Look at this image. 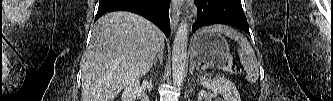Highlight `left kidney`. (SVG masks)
<instances>
[{"instance_id": "left-kidney-1", "label": "left kidney", "mask_w": 333, "mask_h": 101, "mask_svg": "<svg viewBox=\"0 0 333 101\" xmlns=\"http://www.w3.org/2000/svg\"><path fill=\"white\" fill-rule=\"evenodd\" d=\"M200 84L204 88L211 89L213 97L223 96L222 101H241L237 88L231 81L223 77H216L212 80L204 76L200 78Z\"/></svg>"}]
</instances>
